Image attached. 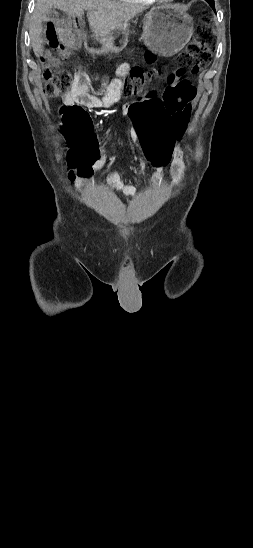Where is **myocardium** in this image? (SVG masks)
I'll return each mask as SVG.
<instances>
[{
    "label": "myocardium",
    "mask_w": 253,
    "mask_h": 548,
    "mask_svg": "<svg viewBox=\"0 0 253 548\" xmlns=\"http://www.w3.org/2000/svg\"><path fill=\"white\" fill-rule=\"evenodd\" d=\"M155 1H158V2H172L174 0H155Z\"/></svg>",
    "instance_id": "myocardium-1"
}]
</instances>
